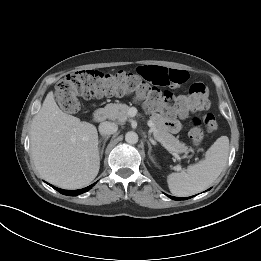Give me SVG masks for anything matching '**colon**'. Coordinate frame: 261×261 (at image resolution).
I'll use <instances>...</instances> for the list:
<instances>
[{"label": "colon", "mask_w": 261, "mask_h": 261, "mask_svg": "<svg viewBox=\"0 0 261 261\" xmlns=\"http://www.w3.org/2000/svg\"><path fill=\"white\" fill-rule=\"evenodd\" d=\"M209 93L208 85L201 81L191 84L187 94H175L151 87L138 75L127 71L108 73L81 70L59 80L55 96L59 106L69 113L79 110V97L92 99L133 94L144 100L151 111H160L167 116H183L193 111L208 109ZM201 124L209 132L217 128V121L212 113H205L201 119L195 118L189 135L196 144H199L204 136Z\"/></svg>", "instance_id": "1"}]
</instances>
